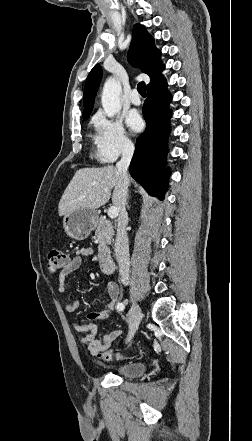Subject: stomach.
Returning a JSON list of instances; mask_svg holds the SVG:
<instances>
[{
    "label": "stomach",
    "mask_w": 252,
    "mask_h": 441,
    "mask_svg": "<svg viewBox=\"0 0 252 441\" xmlns=\"http://www.w3.org/2000/svg\"><path fill=\"white\" fill-rule=\"evenodd\" d=\"M98 213L91 209H78L63 218L67 235L76 240H83L96 227Z\"/></svg>",
    "instance_id": "0dacf381"
}]
</instances>
